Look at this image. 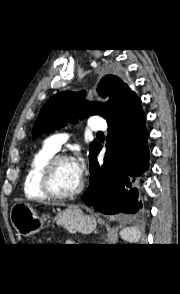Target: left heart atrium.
<instances>
[{
    "instance_id": "1",
    "label": "left heart atrium",
    "mask_w": 180,
    "mask_h": 294,
    "mask_svg": "<svg viewBox=\"0 0 180 294\" xmlns=\"http://www.w3.org/2000/svg\"><path fill=\"white\" fill-rule=\"evenodd\" d=\"M73 168L79 178H82L85 171V163L81 157H78L72 161Z\"/></svg>"
}]
</instances>
